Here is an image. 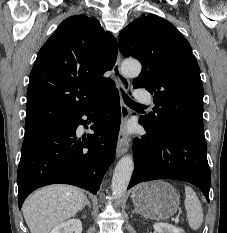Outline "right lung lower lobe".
Segmentation results:
<instances>
[{"instance_id":"1","label":"right lung lower lobe","mask_w":227,"mask_h":233,"mask_svg":"<svg viewBox=\"0 0 227 233\" xmlns=\"http://www.w3.org/2000/svg\"><path fill=\"white\" fill-rule=\"evenodd\" d=\"M93 120L94 134L79 137V125ZM120 102L112 89L82 113L25 136L17 173L18 204L35 189L55 183L99 190L104 173L113 162L120 125Z\"/></svg>"}]
</instances>
